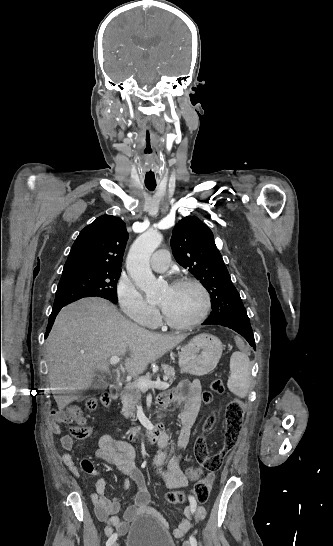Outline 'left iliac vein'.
<instances>
[{"label":"left iliac vein","mask_w":333,"mask_h":546,"mask_svg":"<svg viewBox=\"0 0 333 546\" xmlns=\"http://www.w3.org/2000/svg\"><path fill=\"white\" fill-rule=\"evenodd\" d=\"M183 546H192V545H191V543H190L189 541H185V542L183 543Z\"/></svg>","instance_id":"4c4485c4"}]
</instances>
